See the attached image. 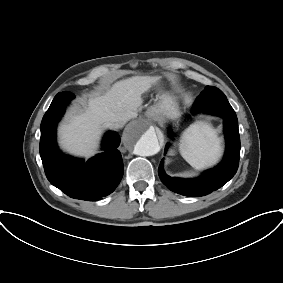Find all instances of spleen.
I'll use <instances>...</instances> for the list:
<instances>
[{
    "mask_svg": "<svg viewBox=\"0 0 283 283\" xmlns=\"http://www.w3.org/2000/svg\"><path fill=\"white\" fill-rule=\"evenodd\" d=\"M179 150L192 167L203 169L217 162L221 155V143L210 124L198 121L183 132Z\"/></svg>",
    "mask_w": 283,
    "mask_h": 283,
    "instance_id": "3e777b00",
    "label": "spleen"
}]
</instances>
